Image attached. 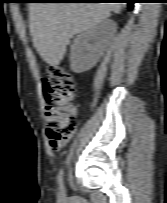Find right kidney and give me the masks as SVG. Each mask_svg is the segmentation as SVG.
<instances>
[{"label":"right kidney","mask_w":167,"mask_h":203,"mask_svg":"<svg viewBox=\"0 0 167 203\" xmlns=\"http://www.w3.org/2000/svg\"><path fill=\"white\" fill-rule=\"evenodd\" d=\"M116 29L113 20L105 19L77 35L70 54L72 71L82 73L91 69L103 55Z\"/></svg>","instance_id":"right-kidney-1"}]
</instances>
